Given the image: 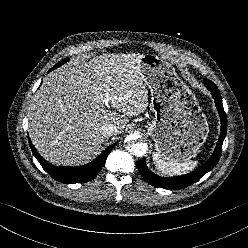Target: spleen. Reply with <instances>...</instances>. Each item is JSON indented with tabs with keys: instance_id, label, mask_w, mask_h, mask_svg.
<instances>
[{
	"instance_id": "1",
	"label": "spleen",
	"mask_w": 248,
	"mask_h": 248,
	"mask_svg": "<svg viewBox=\"0 0 248 248\" xmlns=\"http://www.w3.org/2000/svg\"><path fill=\"white\" fill-rule=\"evenodd\" d=\"M153 161L157 170L169 176L186 174L193 171L198 165V161H185L183 163L165 161L155 153H153Z\"/></svg>"
}]
</instances>
